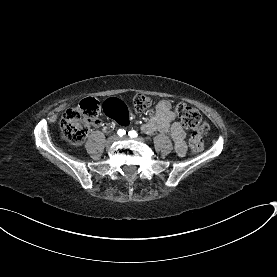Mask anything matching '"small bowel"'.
Instances as JSON below:
<instances>
[{"label": "small bowel", "instance_id": "small-bowel-1", "mask_svg": "<svg viewBox=\"0 0 277 277\" xmlns=\"http://www.w3.org/2000/svg\"><path fill=\"white\" fill-rule=\"evenodd\" d=\"M176 118L177 114L172 110L170 102L168 100H160L155 105L154 114L142 125V131L148 135L156 131L170 134L177 154L183 156L186 152V134L181 123ZM96 124L100 126L102 123L97 121Z\"/></svg>", "mask_w": 277, "mask_h": 277}]
</instances>
